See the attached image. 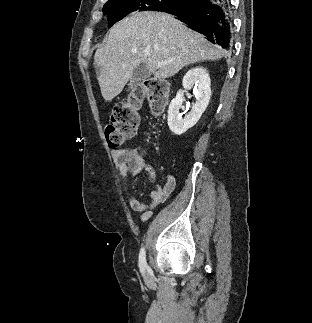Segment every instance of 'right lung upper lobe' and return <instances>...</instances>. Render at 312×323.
Segmentation results:
<instances>
[{
    "label": "right lung upper lobe",
    "mask_w": 312,
    "mask_h": 323,
    "mask_svg": "<svg viewBox=\"0 0 312 323\" xmlns=\"http://www.w3.org/2000/svg\"><path fill=\"white\" fill-rule=\"evenodd\" d=\"M110 1H112V0H109L108 2H110ZM108 2H107V3H108ZM157 11H162V10H157Z\"/></svg>",
    "instance_id": "right-lung-upper-lobe-1"
}]
</instances>
